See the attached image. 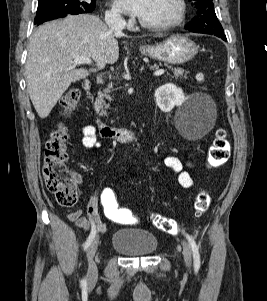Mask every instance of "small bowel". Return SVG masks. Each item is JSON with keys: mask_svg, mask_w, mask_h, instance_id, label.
I'll list each match as a JSON object with an SVG mask.
<instances>
[{"mask_svg": "<svg viewBox=\"0 0 267 301\" xmlns=\"http://www.w3.org/2000/svg\"><path fill=\"white\" fill-rule=\"evenodd\" d=\"M80 130L82 133V145L84 147L94 148L100 146L94 126L85 125L82 126ZM164 164L177 175L178 183L182 187L191 188L193 186L194 180L185 168H195L194 164L189 161H182L176 156L165 157ZM74 178L77 182L80 181L78 175L74 174ZM68 219L84 231H89L90 228L92 230V223H94L100 233L107 232V226L100 219L95 199L90 201L87 207L86 216H83L80 210H75L68 215Z\"/></svg>", "mask_w": 267, "mask_h": 301, "instance_id": "1", "label": "small bowel"}]
</instances>
